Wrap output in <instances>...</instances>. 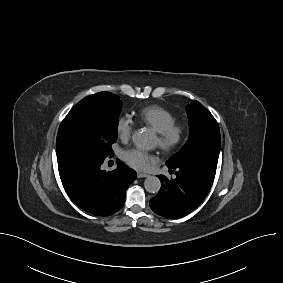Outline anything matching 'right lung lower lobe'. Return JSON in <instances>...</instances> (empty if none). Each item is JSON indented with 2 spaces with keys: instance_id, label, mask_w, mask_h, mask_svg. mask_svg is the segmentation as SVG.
Returning <instances> with one entry per match:
<instances>
[{
  "instance_id": "1",
  "label": "right lung lower lobe",
  "mask_w": 283,
  "mask_h": 283,
  "mask_svg": "<svg viewBox=\"0 0 283 283\" xmlns=\"http://www.w3.org/2000/svg\"><path fill=\"white\" fill-rule=\"evenodd\" d=\"M105 158L74 154L58 162L63 187L71 200L94 215H112L123 205L134 170L118 161L114 171L101 169Z\"/></svg>"
}]
</instances>
